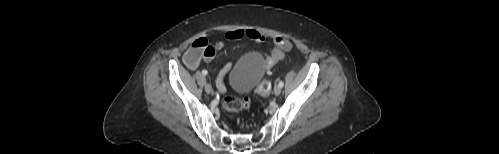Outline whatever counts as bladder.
<instances>
[{
  "instance_id": "bladder-1",
  "label": "bladder",
  "mask_w": 499,
  "mask_h": 154,
  "mask_svg": "<svg viewBox=\"0 0 499 154\" xmlns=\"http://www.w3.org/2000/svg\"><path fill=\"white\" fill-rule=\"evenodd\" d=\"M266 72L261 53L251 51L244 54L230 72L229 88L239 94H246L260 83Z\"/></svg>"
}]
</instances>
